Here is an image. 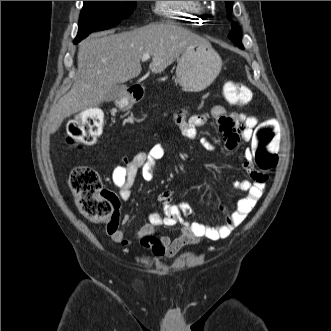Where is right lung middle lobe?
I'll return each instance as SVG.
<instances>
[{"label":"right lung middle lobe","mask_w":331,"mask_h":331,"mask_svg":"<svg viewBox=\"0 0 331 331\" xmlns=\"http://www.w3.org/2000/svg\"><path fill=\"white\" fill-rule=\"evenodd\" d=\"M135 6L136 1H84L74 43H78L93 31L116 26L132 14Z\"/></svg>","instance_id":"1"}]
</instances>
